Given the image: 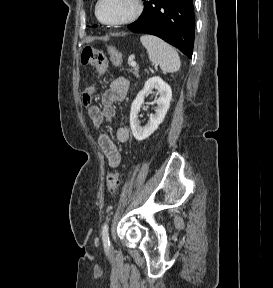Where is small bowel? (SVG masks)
Segmentation results:
<instances>
[{
    "mask_svg": "<svg viewBox=\"0 0 273 288\" xmlns=\"http://www.w3.org/2000/svg\"><path fill=\"white\" fill-rule=\"evenodd\" d=\"M129 81L124 77L113 80L107 90L101 96V106L92 105L88 114L93 125L98 129V144L106 155L109 165L117 167L120 163V154L110 136L102 129L105 122H111L116 114L114 103L123 100L128 92ZM116 139L120 143H125L129 139V131L125 127H120L116 131Z\"/></svg>",
    "mask_w": 273,
    "mask_h": 288,
    "instance_id": "small-bowel-1",
    "label": "small bowel"
}]
</instances>
